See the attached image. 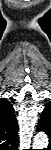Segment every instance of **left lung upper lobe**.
I'll return each instance as SVG.
<instances>
[{"mask_svg": "<svg viewBox=\"0 0 51 150\" xmlns=\"http://www.w3.org/2000/svg\"><path fill=\"white\" fill-rule=\"evenodd\" d=\"M36 130L37 132L43 131L50 137L51 135V102H49L47 106L44 108Z\"/></svg>", "mask_w": 51, "mask_h": 150, "instance_id": "1", "label": "left lung upper lobe"}]
</instances>
